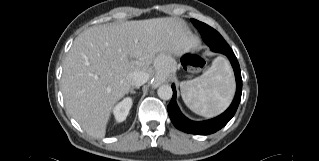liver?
Here are the masks:
<instances>
[{"mask_svg":"<svg viewBox=\"0 0 319 161\" xmlns=\"http://www.w3.org/2000/svg\"><path fill=\"white\" fill-rule=\"evenodd\" d=\"M196 39L185 22L165 17L93 26L73 42L63 65L69 114L91 136L103 138L114 105L131 87L129 74H153L157 54H182Z\"/></svg>","mask_w":319,"mask_h":161,"instance_id":"1","label":"liver"}]
</instances>
